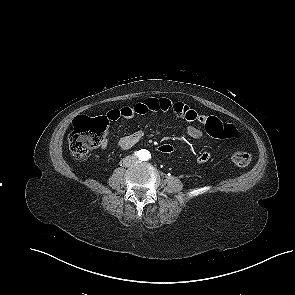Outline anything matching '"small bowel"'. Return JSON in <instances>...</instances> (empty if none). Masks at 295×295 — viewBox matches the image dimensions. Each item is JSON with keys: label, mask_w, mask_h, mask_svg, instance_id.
Segmentation results:
<instances>
[{"label": "small bowel", "mask_w": 295, "mask_h": 295, "mask_svg": "<svg viewBox=\"0 0 295 295\" xmlns=\"http://www.w3.org/2000/svg\"><path fill=\"white\" fill-rule=\"evenodd\" d=\"M172 112L183 118L190 124L187 127V133L192 138H199L202 135V131L197 126L193 125V123L197 122L200 124L207 125L210 120H218L215 117L207 116L203 114H199L196 110L186 105L185 103L179 101H172L167 98H155L148 97L143 101L137 102L133 105L123 106L118 109H112L107 112L105 118L107 121H117L121 118L131 119L135 115H143L148 112ZM219 121V120H218ZM144 137V133L142 131H136L134 133L125 135L120 138L118 141V147L122 150L130 149L134 145H136L139 141ZM107 146V142H102L101 147L105 148ZM211 154L207 151L201 152L197 157L198 163H206L210 160Z\"/></svg>", "instance_id": "c3829d8e"}]
</instances>
